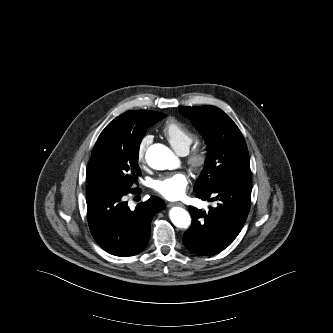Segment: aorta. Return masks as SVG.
<instances>
[{
	"label": "aorta",
	"instance_id": "obj_1",
	"mask_svg": "<svg viewBox=\"0 0 333 333\" xmlns=\"http://www.w3.org/2000/svg\"><path fill=\"white\" fill-rule=\"evenodd\" d=\"M146 161L150 167L156 170L172 169L176 164L173 152L162 144L150 146L146 152ZM172 223L178 228H188L191 224L189 213L181 207H173L169 211Z\"/></svg>",
	"mask_w": 333,
	"mask_h": 333
}]
</instances>
